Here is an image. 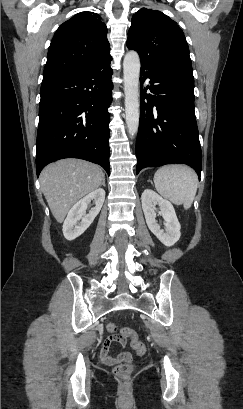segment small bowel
<instances>
[{
  "label": "small bowel",
  "instance_id": "obj_1",
  "mask_svg": "<svg viewBox=\"0 0 243 409\" xmlns=\"http://www.w3.org/2000/svg\"><path fill=\"white\" fill-rule=\"evenodd\" d=\"M114 343L125 346L126 340H122L119 338V336L115 335H110L104 340L99 350V357L101 362L105 365H115L118 362H124L131 359L129 352H120L119 354L112 356L110 354V348Z\"/></svg>",
  "mask_w": 243,
  "mask_h": 409
}]
</instances>
